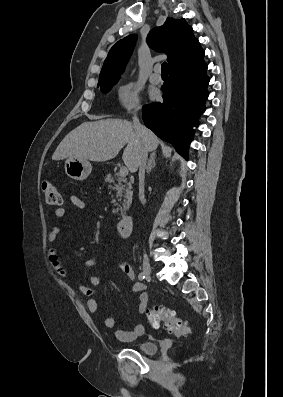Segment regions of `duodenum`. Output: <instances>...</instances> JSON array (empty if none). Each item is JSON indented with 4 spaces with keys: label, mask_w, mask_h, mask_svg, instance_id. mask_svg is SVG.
<instances>
[{
    "label": "duodenum",
    "mask_w": 283,
    "mask_h": 397,
    "mask_svg": "<svg viewBox=\"0 0 283 397\" xmlns=\"http://www.w3.org/2000/svg\"><path fill=\"white\" fill-rule=\"evenodd\" d=\"M132 227L133 218L129 214L122 216L117 223V230L119 234L123 237H127L131 234Z\"/></svg>",
    "instance_id": "410a0bca"
}]
</instances>
